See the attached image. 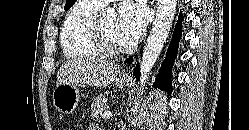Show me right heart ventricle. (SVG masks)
Segmentation results:
<instances>
[{
  "label": "right heart ventricle",
  "instance_id": "e07e8e85",
  "mask_svg": "<svg viewBox=\"0 0 249 130\" xmlns=\"http://www.w3.org/2000/svg\"><path fill=\"white\" fill-rule=\"evenodd\" d=\"M102 6L91 0H77L66 15L60 32V43L66 57H98L101 53L91 37L94 18Z\"/></svg>",
  "mask_w": 249,
  "mask_h": 130
}]
</instances>
